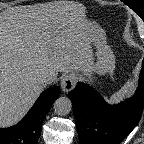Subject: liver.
Here are the masks:
<instances>
[{
	"instance_id": "1",
	"label": "liver",
	"mask_w": 144,
	"mask_h": 144,
	"mask_svg": "<svg viewBox=\"0 0 144 144\" xmlns=\"http://www.w3.org/2000/svg\"><path fill=\"white\" fill-rule=\"evenodd\" d=\"M86 8L54 1L0 13V127L19 122L43 91L48 72H92Z\"/></svg>"
}]
</instances>
